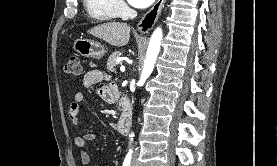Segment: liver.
Returning a JSON list of instances; mask_svg holds the SVG:
<instances>
[{
    "mask_svg": "<svg viewBox=\"0 0 277 166\" xmlns=\"http://www.w3.org/2000/svg\"><path fill=\"white\" fill-rule=\"evenodd\" d=\"M88 33L104 40L110 45L122 47L129 42L130 26L126 23L107 22L93 27Z\"/></svg>",
    "mask_w": 277,
    "mask_h": 166,
    "instance_id": "obj_1",
    "label": "liver"
}]
</instances>
